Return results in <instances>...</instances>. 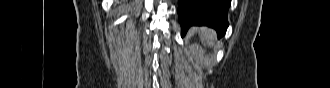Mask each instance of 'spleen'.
Segmentation results:
<instances>
[{
    "instance_id": "3e777b00",
    "label": "spleen",
    "mask_w": 330,
    "mask_h": 88,
    "mask_svg": "<svg viewBox=\"0 0 330 88\" xmlns=\"http://www.w3.org/2000/svg\"><path fill=\"white\" fill-rule=\"evenodd\" d=\"M201 37L204 39V41L207 42L208 45H210V46L214 45L215 33L213 30L208 29V28H202Z\"/></svg>"
}]
</instances>
